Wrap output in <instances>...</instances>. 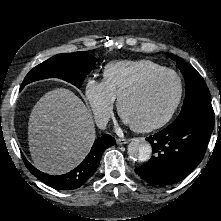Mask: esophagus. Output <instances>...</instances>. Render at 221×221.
<instances>
[{"instance_id":"1","label":"esophagus","mask_w":221,"mask_h":221,"mask_svg":"<svg viewBox=\"0 0 221 221\" xmlns=\"http://www.w3.org/2000/svg\"><path fill=\"white\" fill-rule=\"evenodd\" d=\"M128 142H130V139H121V138L116 139V143L119 145L127 144Z\"/></svg>"}]
</instances>
